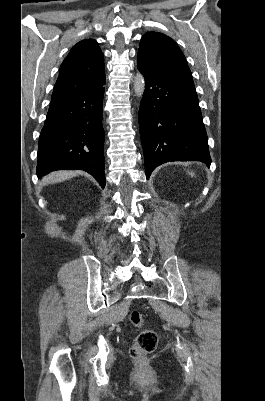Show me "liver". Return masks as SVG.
<instances>
[{
    "label": "liver",
    "mask_w": 265,
    "mask_h": 401,
    "mask_svg": "<svg viewBox=\"0 0 265 401\" xmlns=\"http://www.w3.org/2000/svg\"><path fill=\"white\" fill-rule=\"evenodd\" d=\"M78 170H57V172H51L48 176H45L43 182L44 184H53V182H63V180H68L72 176H76Z\"/></svg>",
    "instance_id": "obj_1"
}]
</instances>
